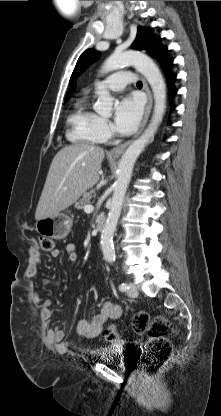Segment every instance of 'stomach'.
Wrapping results in <instances>:
<instances>
[{
    "label": "stomach",
    "instance_id": "0dacf381",
    "mask_svg": "<svg viewBox=\"0 0 221 416\" xmlns=\"http://www.w3.org/2000/svg\"><path fill=\"white\" fill-rule=\"evenodd\" d=\"M72 219L64 214L40 219L36 222V231L42 236L51 239H63L70 232Z\"/></svg>",
    "mask_w": 221,
    "mask_h": 416
}]
</instances>
